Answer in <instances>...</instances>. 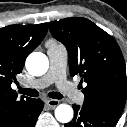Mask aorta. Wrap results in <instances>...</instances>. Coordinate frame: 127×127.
Returning a JSON list of instances; mask_svg holds the SVG:
<instances>
[{
	"instance_id": "1",
	"label": "aorta",
	"mask_w": 127,
	"mask_h": 127,
	"mask_svg": "<svg viewBox=\"0 0 127 127\" xmlns=\"http://www.w3.org/2000/svg\"><path fill=\"white\" fill-rule=\"evenodd\" d=\"M26 69L33 76H42L49 68L47 56L41 52H33L26 59ZM74 115L70 105L60 104L55 109V117L61 123H68Z\"/></svg>"
}]
</instances>
